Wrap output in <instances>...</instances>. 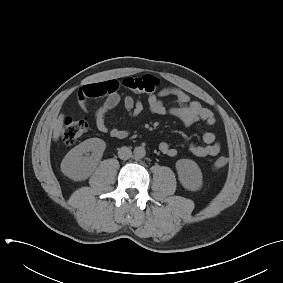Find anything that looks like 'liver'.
I'll return each instance as SVG.
<instances>
[{"mask_svg":"<svg viewBox=\"0 0 283 283\" xmlns=\"http://www.w3.org/2000/svg\"><path fill=\"white\" fill-rule=\"evenodd\" d=\"M64 116L60 114L59 117L54 122V131H53V139L57 141L59 137L63 134V124H64Z\"/></svg>","mask_w":283,"mask_h":283,"instance_id":"1","label":"liver"}]
</instances>
